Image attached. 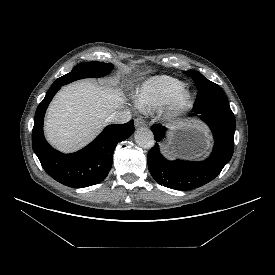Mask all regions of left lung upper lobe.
Listing matches in <instances>:
<instances>
[{"mask_svg":"<svg viewBox=\"0 0 275 275\" xmlns=\"http://www.w3.org/2000/svg\"><path fill=\"white\" fill-rule=\"evenodd\" d=\"M184 73L192 77L199 90L195 104L203 107L229 108L228 99L217 84L197 71L189 70Z\"/></svg>","mask_w":275,"mask_h":275,"instance_id":"obj_1","label":"left lung upper lobe"}]
</instances>
